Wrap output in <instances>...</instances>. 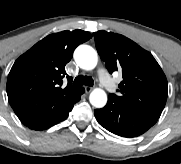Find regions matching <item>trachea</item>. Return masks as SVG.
<instances>
[{"instance_id": "3493384b", "label": "trachea", "mask_w": 181, "mask_h": 164, "mask_svg": "<svg viewBox=\"0 0 181 164\" xmlns=\"http://www.w3.org/2000/svg\"><path fill=\"white\" fill-rule=\"evenodd\" d=\"M73 85L80 86V85H86V86H93V79L89 76H82L79 75L75 78Z\"/></svg>"}]
</instances>
